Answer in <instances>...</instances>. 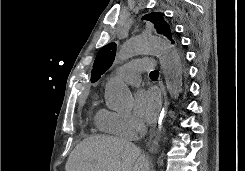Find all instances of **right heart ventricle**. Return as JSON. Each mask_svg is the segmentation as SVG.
Segmentation results:
<instances>
[{"label": "right heart ventricle", "instance_id": "right-heart-ventricle-1", "mask_svg": "<svg viewBox=\"0 0 245 171\" xmlns=\"http://www.w3.org/2000/svg\"><path fill=\"white\" fill-rule=\"evenodd\" d=\"M100 112H101V111H100ZM100 112H98V113H97V115H96V121H97V118H98V116H99Z\"/></svg>", "mask_w": 245, "mask_h": 171}]
</instances>
